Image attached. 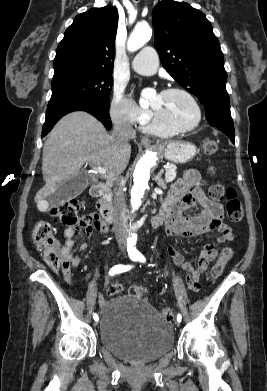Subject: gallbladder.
<instances>
[{
    "instance_id": "1",
    "label": "gallbladder",
    "mask_w": 267,
    "mask_h": 391,
    "mask_svg": "<svg viewBox=\"0 0 267 391\" xmlns=\"http://www.w3.org/2000/svg\"><path fill=\"white\" fill-rule=\"evenodd\" d=\"M88 181L84 174L72 177L66 182H63L60 187L50 195V199L54 203H62L70 201L79 196L87 187Z\"/></svg>"
}]
</instances>
